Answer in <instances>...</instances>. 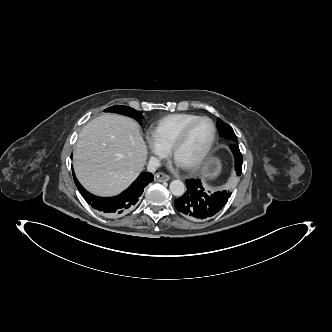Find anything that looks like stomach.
I'll use <instances>...</instances> for the list:
<instances>
[{"label":"stomach","mask_w":332,"mask_h":332,"mask_svg":"<svg viewBox=\"0 0 332 332\" xmlns=\"http://www.w3.org/2000/svg\"><path fill=\"white\" fill-rule=\"evenodd\" d=\"M220 172V163L218 160L210 159L207 161L203 172V181L206 187L210 185Z\"/></svg>","instance_id":"obj_1"}]
</instances>
